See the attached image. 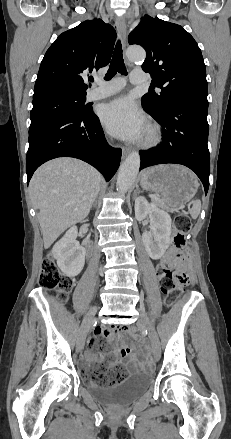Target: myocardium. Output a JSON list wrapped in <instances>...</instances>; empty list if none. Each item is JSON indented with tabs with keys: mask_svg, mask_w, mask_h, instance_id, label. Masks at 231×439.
I'll return each mask as SVG.
<instances>
[{
	"mask_svg": "<svg viewBox=\"0 0 231 439\" xmlns=\"http://www.w3.org/2000/svg\"><path fill=\"white\" fill-rule=\"evenodd\" d=\"M161 138L162 133L160 127L155 123H150L147 126L141 145L146 148L153 147L161 141Z\"/></svg>",
	"mask_w": 231,
	"mask_h": 439,
	"instance_id": "f54148a6",
	"label": "myocardium"
}]
</instances>
